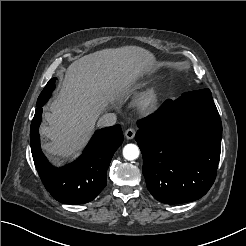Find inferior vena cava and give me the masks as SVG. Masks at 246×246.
I'll list each match as a JSON object with an SVG mask.
<instances>
[{
	"mask_svg": "<svg viewBox=\"0 0 246 246\" xmlns=\"http://www.w3.org/2000/svg\"><path fill=\"white\" fill-rule=\"evenodd\" d=\"M116 120H117L116 114L106 113L99 118L97 124L100 127H109L115 125Z\"/></svg>",
	"mask_w": 246,
	"mask_h": 246,
	"instance_id": "inferior-vena-cava-1",
	"label": "inferior vena cava"
}]
</instances>
